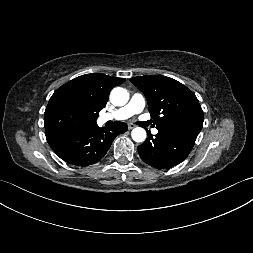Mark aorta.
<instances>
[{"label":"aorta","instance_id":"aorta-1","mask_svg":"<svg viewBox=\"0 0 253 253\" xmlns=\"http://www.w3.org/2000/svg\"><path fill=\"white\" fill-rule=\"evenodd\" d=\"M110 100L115 106H123L129 100V93L121 87H116L111 91ZM132 139L136 142H143L146 139V131L137 127L131 132Z\"/></svg>","mask_w":253,"mask_h":253}]
</instances>
